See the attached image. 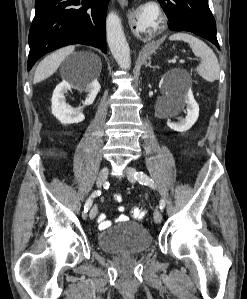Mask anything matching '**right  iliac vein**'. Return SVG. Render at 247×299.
I'll return each instance as SVG.
<instances>
[{
	"label": "right iliac vein",
	"instance_id": "1",
	"mask_svg": "<svg viewBox=\"0 0 247 299\" xmlns=\"http://www.w3.org/2000/svg\"><path fill=\"white\" fill-rule=\"evenodd\" d=\"M108 173H109V169L107 167L103 168L100 171L98 178H97V186L99 188L105 184L107 177H108ZM96 215H97V207L93 206L89 212V217H90V219H94L96 217Z\"/></svg>",
	"mask_w": 247,
	"mask_h": 299
}]
</instances>
